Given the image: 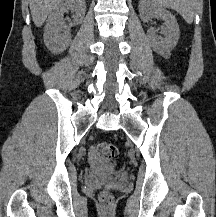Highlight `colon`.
Returning <instances> with one entry per match:
<instances>
[{
    "instance_id": "obj_1",
    "label": "colon",
    "mask_w": 216,
    "mask_h": 217,
    "mask_svg": "<svg viewBox=\"0 0 216 217\" xmlns=\"http://www.w3.org/2000/svg\"><path fill=\"white\" fill-rule=\"evenodd\" d=\"M95 154L101 163L111 168L119 159V150L111 141L98 142L95 146ZM99 197L102 204L108 205L112 202V195L108 191H102Z\"/></svg>"
}]
</instances>
